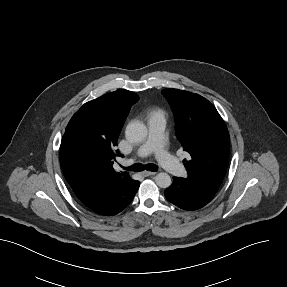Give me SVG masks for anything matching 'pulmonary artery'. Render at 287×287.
I'll list each match as a JSON object with an SVG mask.
<instances>
[{
	"mask_svg": "<svg viewBox=\"0 0 287 287\" xmlns=\"http://www.w3.org/2000/svg\"><path fill=\"white\" fill-rule=\"evenodd\" d=\"M148 137L137 149L138 157H145L151 152L154 153L158 162L172 175L182 176L185 174L183 165L177 158L169 154L165 148V121L159 118H150L148 121ZM127 160L124 164H129Z\"/></svg>",
	"mask_w": 287,
	"mask_h": 287,
	"instance_id": "e3ab8cb5",
	"label": "pulmonary artery"
}]
</instances>
